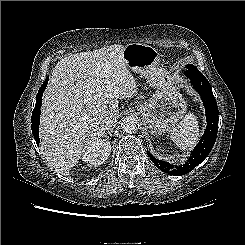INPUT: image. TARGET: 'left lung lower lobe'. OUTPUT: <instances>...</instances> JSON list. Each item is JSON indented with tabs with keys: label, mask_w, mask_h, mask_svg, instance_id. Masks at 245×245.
<instances>
[{
	"label": "left lung lower lobe",
	"mask_w": 245,
	"mask_h": 245,
	"mask_svg": "<svg viewBox=\"0 0 245 245\" xmlns=\"http://www.w3.org/2000/svg\"><path fill=\"white\" fill-rule=\"evenodd\" d=\"M184 74L191 80L194 89L199 93L203 101L207 121L205 132L198 145L193 151H191L189 160L183 165H172L168 162L156 159L150 153H148V156L156 167L165 173L175 176L189 173L197 165L204 161L215 144L218 130V107L209 81L197 69V67L193 66L192 64L187 66V70L184 72Z\"/></svg>",
	"instance_id": "1"
}]
</instances>
